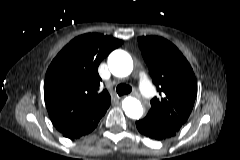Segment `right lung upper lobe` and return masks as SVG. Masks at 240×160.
<instances>
[{
    "label": "right lung upper lobe",
    "mask_w": 240,
    "mask_h": 160,
    "mask_svg": "<svg viewBox=\"0 0 240 160\" xmlns=\"http://www.w3.org/2000/svg\"><path fill=\"white\" fill-rule=\"evenodd\" d=\"M123 43L111 36L88 33L74 38L51 62L44 81V97L59 132L105 112L111 97L99 92L100 62Z\"/></svg>",
    "instance_id": "right-lung-upper-lobe-1"
}]
</instances>
